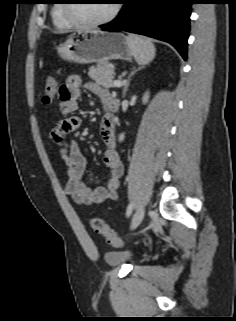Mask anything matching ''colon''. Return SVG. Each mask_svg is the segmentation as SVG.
Segmentation results:
<instances>
[{
    "label": "colon",
    "mask_w": 236,
    "mask_h": 321,
    "mask_svg": "<svg viewBox=\"0 0 236 321\" xmlns=\"http://www.w3.org/2000/svg\"><path fill=\"white\" fill-rule=\"evenodd\" d=\"M57 83L54 78H49L45 82L42 101L44 104H51L56 97ZM91 229L99 236H102L108 243L115 247H121L123 245L122 239L111 229L106 222L99 218H93L90 220Z\"/></svg>",
    "instance_id": "obj_1"
}]
</instances>
